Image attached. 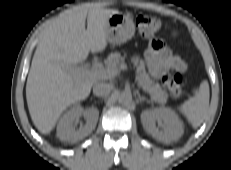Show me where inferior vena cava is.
Segmentation results:
<instances>
[{
  "instance_id": "inferior-vena-cava-1",
  "label": "inferior vena cava",
  "mask_w": 231,
  "mask_h": 170,
  "mask_svg": "<svg viewBox=\"0 0 231 170\" xmlns=\"http://www.w3.org/2000/svg\"><path fill=\"white\" fill-rule=\"evenodd\" d=\"M112 85L107 83H96L93 87V93L96 96H104L110 93Z\"/></svg>"
}]
</instances>
